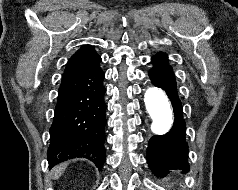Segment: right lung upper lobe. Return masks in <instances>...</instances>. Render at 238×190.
<instances>
[{"label":"right lung upper lobe","mask_w":238,"mask_h":190,"mask_svg":"<svg viewBox=\"0 0 238 190\" xmlns=\"http://www.w3.org/2000/svg\"><path fill=\"white\" fill-rule=\"evenodd\" d=\"M98 59H100V56L96 53L94 48L89 45L82 46L67 62L62 79L84 70Z\"/></svg>","instance_id":"obj_1"}]
</instances>
